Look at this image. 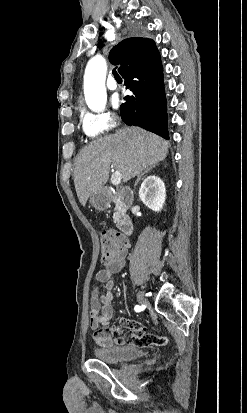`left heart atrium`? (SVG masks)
I'll use <instances>...</instances> for the list:
<instances>
[{
	"instance_id": "39dd6f15",
	"label": "left heart atrium",
	"mask_w": 247,
	"mask_h": 413,
	"mask_svg": "<svg viewBox=\"0 0 247 413\" xmlns=\"http://www.w3.org/2000/svg\"><path fill=\"white\" fill-rule=\"evenodd\" d=\"M120 102L121 101H120V98L118 96H114L112 98V104H113L114 107H118L120 105Z\"/></svg>"
}]
</instances>
